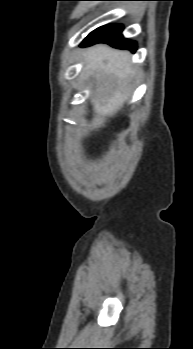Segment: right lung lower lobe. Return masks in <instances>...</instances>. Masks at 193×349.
<instances>
[{
	"label": "right lung lower lobe",
	"mask_w": 193,
	"mask_h": 349,
	"mask_svg": "<svg viewBox=\"0 0 193 349\" xmlns=\"http://www.w3.org/2000/svg\"><path fill=\"white\" fill-rule=\"evenodd\" d=\"M122 25H106L92 31L82 42L81 46H90L96 43H107L115 48L136 51V43L129 42L122 35Z\"/></svg>",
	"instance_id": "98d812e1"
}]
</instances>
